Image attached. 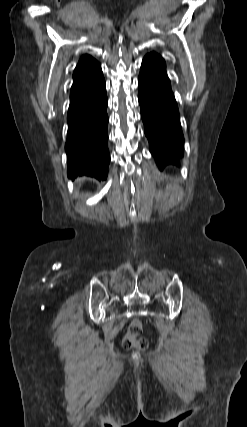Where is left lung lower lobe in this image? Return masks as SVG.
Here are the masks:
<instances>
[{
	"label": "left lung lower lobe",
	"mask_w": 247,
	"mask_h": 427,
	"mask_svg": "<svg viewBox=\"0 0 247 427\" xmlns=\"http://www.w3.org/2000/svg\"><path fill=\"white\" fill-rule=\"evenodd\" d=\"M138 100L149 149L159 168L179 164L184 137L178 106L165 66L145 56L138 78Z\"/></svg>",
	"instance_id": "left-lung-lower-lobe-1"
}]
</instances>
